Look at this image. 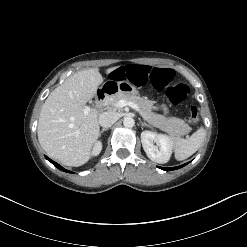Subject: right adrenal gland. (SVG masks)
Returning a JSON list of instances; mask_svg holds the SVG:
<instances>
[{
  "mask_svg": "<svg viewBox=\"0 0 247 247\" xmlns=\"http://www.w3.org/2000/svg\"><path fill=\"white\" fill-rule=\"evenodd\" d=\"M108 128H103L101 131H100V135L104 132V131H107Z\"/></svg>",
  "mask_w": 247,
  "mask_h": 247,
  "instance_id": "1",
  "label": "right adrenal gland"
}]
</instances>
